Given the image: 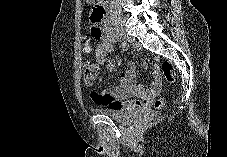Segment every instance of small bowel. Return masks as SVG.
I'll list each match as a JSON object with an SVG mask.
<instances>
[{
	"instance_id": "obj_1",
	"label": "small bowel",
	"mask_w": 227,
	"mask_h": 157,
	"mask_svg": "<svg viewBox=\"0 0 227 157\" xmlns=\"http://www.w3.org/2000/svg\"><path fill=\"white\" fill-rule=\"evenodd\" d=\"M99 44L95 48L96 62L98 66H104L107 70L112 71L116 62L109 59L108 56L113 51V35L110 33L100 32ZM83 51L90 54L93 51L92 46H84ZM124 82L122 85L111 90H100L93 88L90 92L91 99L96 104L106 105L113 109H138L147 107L151 104L153 98L157 95L160 88V77L157 71L154 72L153 82L149 89L144 85L136 82L135 65L132 62L125 64L122 74ZM102 78H98L100 83ZM136 97V100H128Z\"/></svg>"
}]
</instances>
